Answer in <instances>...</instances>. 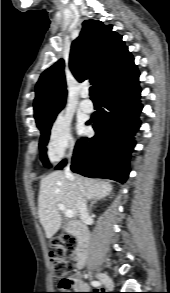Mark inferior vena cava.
<instances>
[{"instance_id":"602c4592","label":"inferior vena cava","mask_w":170,"mask_h":293,"mask_svg":"<svg viewBox=\"0 0 170 293\" xmlns=\"http://www.w3.org/2000/svg\"><path fill=\"white\" fill-rule=\"evenodd\" d=\"M71 155H72V149L70 151L69 157H71ZM65 174L68 176V178L71 181L72 186L75 188L76 185L73 181V175L70 171V165H67V167L65 168ZM76 201H77V206H78V210H79V216H80L81 220L84 221L88 217V209H87L86 201L80 195H78L76 197Z\"/></svg>"}]
</instances>
